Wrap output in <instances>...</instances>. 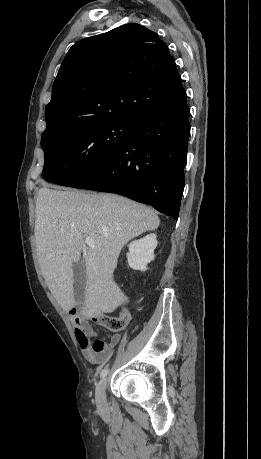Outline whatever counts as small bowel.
<instances>
[{"label":"small bowel","mask_w":261,"mask_h":459,"mask_svg":"<svg viewBox=\"0 0 261 459\" xmlns=\"http://www.w3.org/2000/svg\"><path fill=\"white\" fill-rule=\"evenodd\" d=\"M120 312L129 320L130 313L126 307L120 306ZM74 334L84 357L92 364L106 363L112 353V347L119 341V336H114L111 343L97 338L96 331L81 320L74 321Z\"/></svg>","instance_id":"c3829d8e"}]
</instances>
